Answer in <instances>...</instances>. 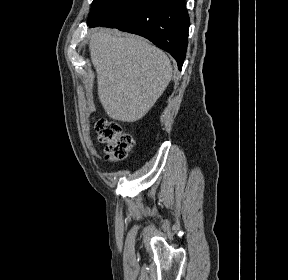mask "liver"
Instances as JSON below:
<instances>
[{"mask_svg": "<svg viewBox=\"0 0 288 280\" xmlns=\"http://www.w3.org/2000/svg\"><path fill=\"white\" fill-rule=\"evenodd\" d=\"M91 61L97 72L98 96L113 119H141L163 94L172 77L167 55L135 35L96 30L90 39Z\"/></svg>", "mask_w": 288, "mask_h": 280, "instance_id": "obj_1", "label": "liver"}]
</instances>
